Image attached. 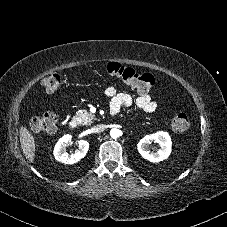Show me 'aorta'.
<instances>
[{
	"label": "aorta",
	"instance_id": "aorta-1",
	"mask_svg": "<svg viewBox=\"0 0 227 227\" xmlns=\"http://www.w3.org/2000/svg\"><path fill=\"white\" fill-rule=\"evenodd\" d=\"M121 132L119 129L113 128L110 131V136L114 139L118 138L120 136Z\"/></svg>",
	"mask_w": 227,
	"mask_h": 227
}]
</instances>
